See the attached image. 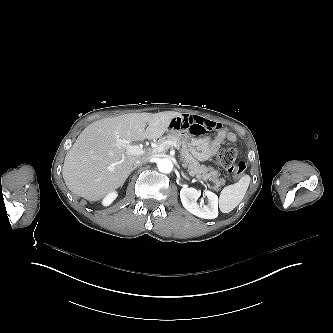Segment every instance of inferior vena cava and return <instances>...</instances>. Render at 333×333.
<instances>
[{
    "mask_svg": "<svg viewBox=\"0 0 333 333\" xmlns=\"http://www.w3.org/2000/svg\"><path fill=\"white\" fill-rule=\"evenodd\" d=\"M148 161H149V158L145 157V158H143V159H141V160H137V161L134 163V166L139 167V166H141L142 164H144V163H146V162H148Z\"/></svg>",
    "mask_w": 333,
    "mask_h": 333,
    "instance_id": "602c4592",
    "label": "inferior vena cava"
}]
</instances>
